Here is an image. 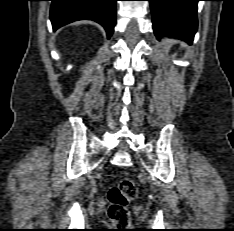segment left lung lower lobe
<instances>
[{"instance_id": "left-lung-lower-lobe-1", "label": "left lung lower lobe", "mask_w": 234, "mask_h": 231, "mask_svg": "<svg viewBox=\"0 0 234 231\" xmlns=\"http://www.w3.org/2000/svg\"><path fill=\"white\" fill-rule=\"evenodd\" d=\"M157 39L171 36L192 43L197 31V2L200 0H148Z\"/></svg>"}]
</instances>
